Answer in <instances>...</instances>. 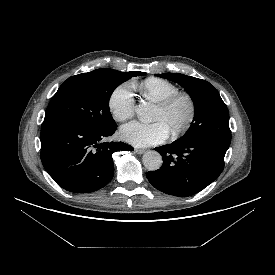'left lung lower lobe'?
I'll return each mask as SVG.
<instances>
[{"label": "left lung lower lobe", "mask_w": 275, "mask_h": 275, "mask_svg": "<svg viewBox=\"0 0 275 275\" xmlns=\"http://www.w3.org/2000/svg\"><path fill=\"white\" fill-rule=\"evenodd\" d=\"M229 144L205 140H176L155 148L163 157L160 169L147 179L161 192L187 197L212 183L223 171Z\"/></svg>", "instance_id": "obj_1"}]
</instances>
